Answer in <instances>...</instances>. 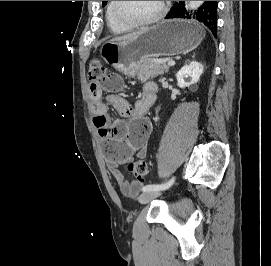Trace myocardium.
I'll return each instance as SVG.
<instances>
[{"label":"myocardium","instance_id":"f54148a6","mask_svg":"<svg viewBox=\"0 0 271 266\" xmlns=\"http://www.w3.org/2000/svg\"><path fill=\"white\" fill-rule=\"evenodd\" d=\"M120 4H121V1H114V5H113L114 16L121 24H123L129 28L148 26V25L157 23L158 21H160L164 17V15L167 11L166 2L160 1V7H159L158 11L153 16H151L147 19H144V20L136 21V20H132V19L125 17L121 13Z\"/></svg>","mask_w":271,"mask_h":266}]
</instances>
